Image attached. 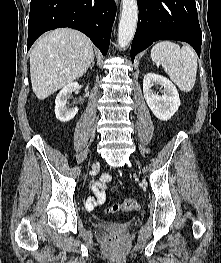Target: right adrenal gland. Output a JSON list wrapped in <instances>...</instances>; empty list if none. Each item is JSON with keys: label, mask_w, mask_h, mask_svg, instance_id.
I'll use <instances>...</instances> for the list:
<instances>
[{"label": "right adrenal gland", "mask_w": 221, "mask_h": 263, "mask_svg": "<svg viewBox=\"0 0 221 263\" xmlns=\"http://www.w3.org/2000/svg\"><path fill=\"white\" fill-rule=\"evenodd\" d=\"M95 62L94 60L92 61V64L90 65V69H93V66H94Z\"/></svg>", "instance_id": "right-adrenal-gland-1"}]
</instances>
